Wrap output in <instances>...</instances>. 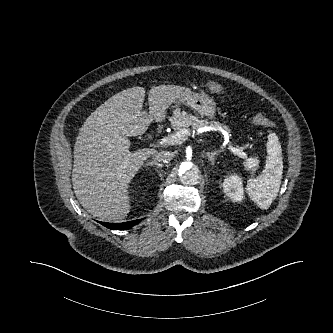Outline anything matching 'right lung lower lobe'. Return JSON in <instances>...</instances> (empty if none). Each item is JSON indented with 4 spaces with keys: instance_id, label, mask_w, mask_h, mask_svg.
<instances>
[{
    "instance_id": "right-lung-lower-lobe-1",
    "label": "right lung lower lobe",
    "mask_w": 333,
    "mask_h": 333,
    "mask_svg": "<svg viewBox=\"0 0 333 333\" xmlns=\"http://www.w3.org/2000/svg\"><path fill=\"white\" fill-rule=\"evenodd\" d=\"M141 220H135L131 222H123L121 224L119 223H106V222H100L103 226L112 229V230H126L130 229L132 226L138 224Z\"/></svg>"
}]
</instances>
